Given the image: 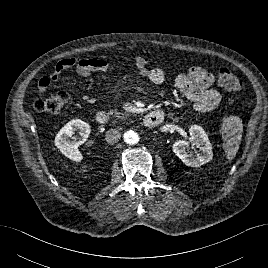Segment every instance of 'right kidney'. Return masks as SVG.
<instances>
[{"label": "right kidney", "instance_id": "obj_1", "mask_svg": "<svg viewBox=\"0 0 268 268\" xmlns=\"http://www.w3.org/2000/svg\"><path fill=\"white\" fill-rule=\"evenodd\" d=\"M79 130L80 137L78 138V142L71 141L69 137L74 135L75 131ZM90 126L80 119H74L68 122L64 127L60 129L55 138L56 147L72 161L81 162L83 156L81 152L78 150V146L84 143L89 134H90Z\"/></svg>", "mask_w": 268, "mask_h": 268}]
</instances>
